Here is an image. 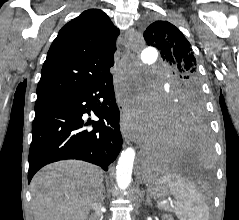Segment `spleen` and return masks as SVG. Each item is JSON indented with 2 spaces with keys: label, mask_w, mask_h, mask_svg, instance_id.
I'll return each mask as SVG.
<instances>
[{
  "label": "spleen",
  "mask_w": 239,
  "mask_h": 220,
  "mask_svg": "<svg viewBox=\"0 0 239 220\" xmlns=\"http://www.w3.org/2000/svg\"><path fill=\"white\" fill-rule=\"evenodd\" d=\"M155 182L166 184L171 194L177 199L174 212L180 220H209V207L205 198L184 177L168 173ZM158 207L169 210L166 204H158Z\"/></svg>",
  "instance_id": "3e777b00"
}]
</instances>
